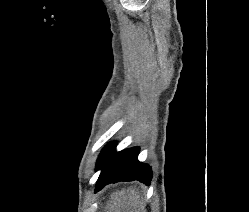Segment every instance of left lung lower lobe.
I'll return each mask as SVG.
<instances>
[{"label": "left lung lower lobe", "mask_w": 249, "mask_h": 212, "mask_svg": "<svg viewBox=\"0 0 249 212\" xmlns=\"http://www.w3.org/2000/svg\"><path fill=\"white\" fill-rule=\"evenodd\" d=\"M116 142L107 144L101 151L97 160L96 170L101 173L96 183L95 192L105 185L119 181L139 180L150 185L152 179L151 168L137 160L139 148L134 147L120 152L115 151Z\"/></svg>", "instance_id": "obj_1"}]
</instances>
